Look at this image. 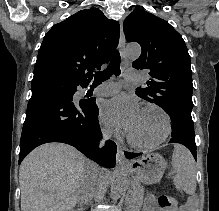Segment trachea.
Returning <instances> with one entry per match:
<instances>
[{
  "label": "trachea",
  "instance_id": "1",
  "mask_svg": "<svg viewBox=\"0 0 219 211\" xmlns=\"http://www.w3.org/2000/svg\"><path fill=\"white\" fill-rule=\"evenodd\" d=\"M120 58L119 52L116 51L107 68L103 71H98L95 74L93 86L100 85L103 81L108 80L112 75H120Z\"/></svg>",
  "mask_w": 219,
  "mask_h": 211
}]
</instances>
